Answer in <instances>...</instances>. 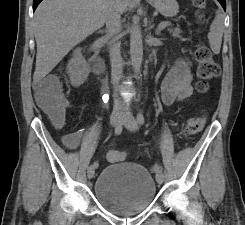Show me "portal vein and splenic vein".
Here are the masks:
<instances>
[{"instance_id":"1","label":"portal vein and splenic vein","mask_w":245,"mask_h":225,"mask_svg":"<svg viewBox=\"0 0 245 225\" xmlns=\"http://www.w3.org/2000/svg\"><path fill=\"white\" fill-rule=\"evenodd\" d=\"M169 25H170L169 22L163 21V22H161V23L158 25V29H159V30H162V29H164L165 27H167V26H169Z\"/></svg>"}]
</instances>
